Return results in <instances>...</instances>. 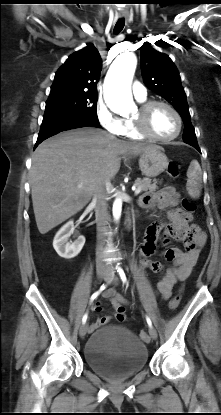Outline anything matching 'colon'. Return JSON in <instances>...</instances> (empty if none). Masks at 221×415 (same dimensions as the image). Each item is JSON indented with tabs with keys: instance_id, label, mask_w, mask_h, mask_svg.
<instances>
[{
	"instance_id": "5ec220e1",
	"label": "colon",
	"mask_w": 221,
	"mask_h": 415,
	"mask_svg": "<svg viewBox=\"0 0 221 415\" xmlns=\"http://www.w3.org/2000/svg\"><path fill=\"white\" fill-rule=\"evenodd\" d=\"M167 175L171 178V179H176L179 176V167L176 163L174 162H170L167 166ZM181 207H187L188 210H190V213H193L196 210V205L195 203L191 202L190 200L186 199L185 196L181 197ZM181 300V291L176 294L168 303V307L171 310H174L178 307L179 303ZM140 337L143 340H147L148 339V334L145 330H142L140 332Z\"/></svg>"
}]
</instances>
